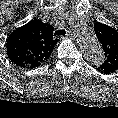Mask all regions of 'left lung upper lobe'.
I'll list each match as a JSON object with an SVG mask.
<instances>
[{
	"label": "left lung upper lobe",
	"instance_id": "left-lung-upper-lobe-1",
	"mask_svg": "<svg viewBox=\"0 0 118 118\" xmlns=\"http://www.w3.org/2000/svg\"><path fill=\"white\" fill-rule=\"evenodd\" d=\"M94 31L105 55L104 62L97 69L105 74L114 73L118 70V32L100 22L94 24Z\"/></svg>",
	"mask_w": 118,
	"mask_h": 118
}]
</instances>
